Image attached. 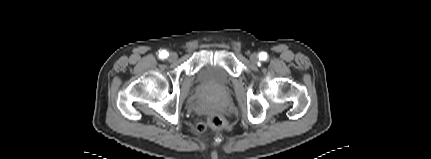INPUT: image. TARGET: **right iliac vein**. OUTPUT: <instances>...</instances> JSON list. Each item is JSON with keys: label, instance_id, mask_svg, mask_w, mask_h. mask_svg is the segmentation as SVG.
<instances>
[{"label": "right iliac vein", "instance_id": "right-iliac-vein-1", "mask_svg": "<svg viewBox=\"0 0 431 159\" xmlns=\"http://www.w3.org/2000/svg\"><path fill=\"white\" fill-rule=\"evenodd\" d=\"M177 59V54L176 53H170L169 55V60L170 61H175Z\"/></svg>", "mask_w": 431, "mask_h": 159}]
</instances>
